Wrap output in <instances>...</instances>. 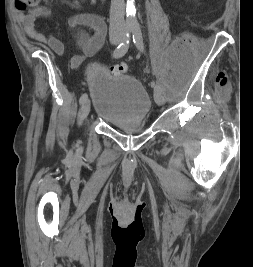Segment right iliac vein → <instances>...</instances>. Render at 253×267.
Wrapping results in <instances>:
<instances>
[{
	"label": "right iliac vein",
	"mask_w": 253,
	"mask_h": 267,
	"mask_svg": "<svg viewBox=\"0 0 253 267\" xmlns=\"http://www.w3.org/2000/svg\"><path fill=\"white\" fill-rule=\"evenodd\" d=\"M123 41V37L122 36H116L114 38H111L110 42L111 44L117 45L119 43H121ZM90 112V100L86 99L80 109V118L82 120L86 119V117L88 116Z\"/></svg>",
	"instance_id": "right-iliac-vein-1"
}]
</instances>
